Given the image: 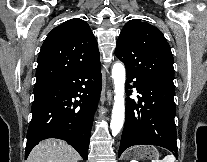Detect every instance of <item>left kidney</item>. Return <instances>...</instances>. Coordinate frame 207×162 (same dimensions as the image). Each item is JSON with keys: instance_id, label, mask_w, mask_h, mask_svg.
<instances>
[{"instance_id": "5707ae66", "label": "left kidney", "mask_w": 207, "mask_h": 162, "mask_svg": "<svg viewBox=\"0 0 207 162\" xmlns=\"http://www.w3.org/2000/svg\"><path fill=\"white\" fill-rule=\"evenodd\" d=\"M130 162H138V161L132 160V161H130Z\"/></svg>"}]
</instances>
